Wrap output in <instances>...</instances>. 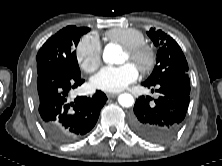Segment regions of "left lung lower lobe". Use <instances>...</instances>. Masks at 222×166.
<instances>
[{
  "label": "left lung lower lobe",
  "instance_id": "0a47b994",
  "mask_svg": "<svg viewBox=\"0 0 222 166\" xmlns=\"http://www.w3.org/2000/svg\"><path fill=\"white\" fill-rule=\"evenodd\" d=\"M156 88L159 97L150 102V97L136 100L131 126L142 139L151 143L169 142L181 129L190 101L189 76H173L155 84L143 83ZM154 90H152L153 92Z\"/></svg>",
  "mask_w": 222,
  "mask_h": 166
}]
</instances>
